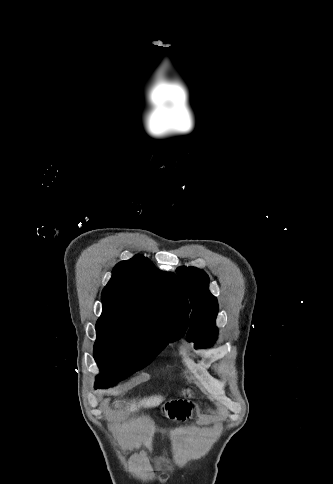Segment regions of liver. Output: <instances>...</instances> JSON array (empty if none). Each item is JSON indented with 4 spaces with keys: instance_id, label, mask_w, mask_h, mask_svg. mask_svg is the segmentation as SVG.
<instances>
[{
    "instance_id": "obj_1",
    "label": "liver",
    "mask_w": 333,
    "mask_h": 484,
    "mask_svg": "<svg viewBox=\"0 0 333 484\" xmlns=\"http://www.w3.org/2000/svg\"><path fill=\"white\" fill-rule=\"evenodd\" d=\"M163 399L164 398L162 396L155 395V396H151L149 398H144V399L140 400L138 403L133 401L127 406V410H128V412H134L137 409H139L140 407H144V408L155 407V406L159 405L163 401Z\"/></svg>"
}]
</instances>
